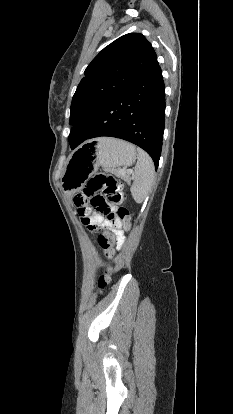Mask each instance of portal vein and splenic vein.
I'll use <instances>...</instances> for the list:
<instances>
[{"instance_id": "18ae733b", "label": "portal vein and splenic vein", "mask_w": 233, "mask_h": 414, "mask_svg": "<svg viewBox=\"0 0 233 414\" xmlns=\"http://www.w3.org/2000/svg\"><path fill=\"white\" fill-rule=\"evenodd\" d=\"M121 173H125V169L120 170ZM130 173H133L132 170H130Z\"/></svg>"}]
</instances>
